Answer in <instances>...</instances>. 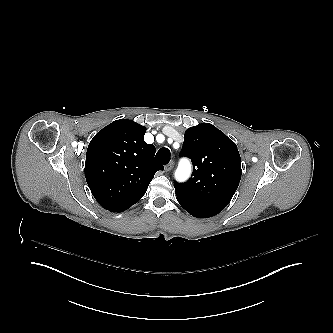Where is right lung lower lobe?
<instances>
[{"instance_id":"obj_1","label":"right lung lower lobe","mask_w":333,"mask_h":333,"mask_svg":"<svg viewBox=\"0 0 333 333\" xmlns=\"http://www.w3.org/2000/svg\"><path fill=\"white\" fill-rule=\"evenodd\" d=\"M146 192V191H145ZM145 192L139 193V194H134L130 195L121 202L117 203L112 212H123L129 207H131L133 204L137 203L142 196L145 194Z\"/></svg>"}]
</instances>
